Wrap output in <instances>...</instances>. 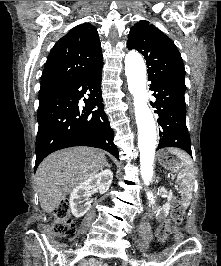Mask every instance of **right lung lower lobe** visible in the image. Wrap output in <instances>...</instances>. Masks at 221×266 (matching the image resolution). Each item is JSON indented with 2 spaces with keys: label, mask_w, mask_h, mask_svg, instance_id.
<instances>
[{
  "label": "right lung lower lobe",
  "mask_w": 221,
  "mask_h": 266,
  "mask_svg": "<svg viewBox=\"0 0 221 266\" xmlns=\"http://www.w3.org/2000/svg\"><path fill=\"white\" fill-rule=\"evenodd\" d=\"M102 65L59 86L39 98L35 170L50 153L72 146L101 148L116 158L113 131L106 117L101 94ZM84 99L85 107L78 106ZM97 106V110L92 109Z\"/></svg>",
  "instance_id": "98d812e1"
}]
</instances>
